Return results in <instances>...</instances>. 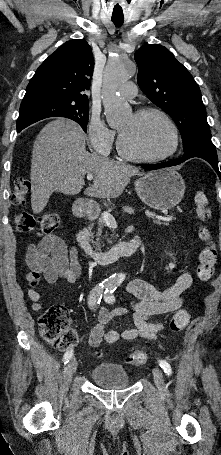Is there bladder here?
I'll return each mask as SVG.
<instances>
[{"instance_id":"1","label":"bladder","mask_w":221,"mask_h":455,"mask_svg":"<svg viewBox=\"0 0 221 455\" xmlns=\"http://www.w3.org/2000/svg\"><path fill=\"white\" fill-rule=\"evenodd\" d=\"M89 375L96 385L106 389H118L130 385L127 371L118 364H98L91 369Z\"/></svg>"}]
</instances>
